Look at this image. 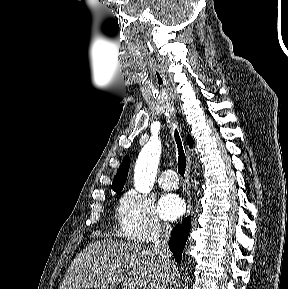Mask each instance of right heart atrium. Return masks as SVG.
I'll use <instances>...</instances> for the list:
<instances>
[{"label": "right heart atrium", "instance_id": "obj_1", "mask_svg": "<svg viewBox=\"0 0 288 289\" xmlns=\"http://www.w3.org/2000/svg\"><path fill=\"white\" fill-rule=\"evenodd\" d=\"M118 217L122 236L136 242H154L169 232V226L159 217L154 201L136 190H129L121 197Z\"/></svg>", "mask_w": 288, "mask_h": 289}]
</instances>
